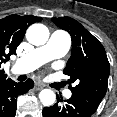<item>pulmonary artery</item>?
<instances>
[{
	"label": "pulmonary artery",
	"mask_w": 117,
	"mask_h": 117,
	"mask_svg": "<svg viewBox=\"0 0 117 117\" xmlns=\"http://www.w3.org/2000/svg\"><path fill=\"white\" fill-rule=\"evenodd\" d=\"M70 47L69 35L61 30L54 31L48 42L19 58L13 65L16 73H28L41 65L64 56ZM71 91L65 92V97L69 98Z\"/></svg>",
	"instance_id": "1"
}]
</instances>
